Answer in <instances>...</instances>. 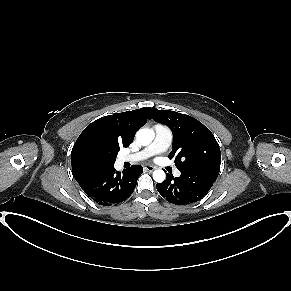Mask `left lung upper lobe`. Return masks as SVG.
<instances>
[{"mask_svg": "<svg viewBox=\"0 0 291 291\" xmlns=\"http://www.w3.org/2000/svg\"><path fill=\"white\" fill-rule=\"evenodd\" d=\"M151 118L167 125L173 133V149L177 168L214 169L220 171L221 153L212 132L197 119L175 111L153 109Z\"/></svg>", "mask_w": 291, "mask_h": 291, "instance_id": "1", "label": "left lung upper lobe"}]
</instances>
